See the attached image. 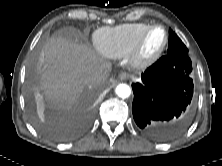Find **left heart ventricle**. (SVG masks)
<instances>
[{
    "instance_id": "obj_1",
    "label": "left heart ventricle",
    "mask_w": 222,
    "mask_h": 166,
    "mask_svg": "<svg viewBox=\"0 0 222 166\" xmlns=\"http://www.w3.org/2000/svg\"><path fill=\"white\" fill-rule=\"evenodd\" d=\"M164 39V33L161 29L152 30L145 39L142 47V53L145 56L151 55L157 51Z\"/></svg>"
}]
</instances>
